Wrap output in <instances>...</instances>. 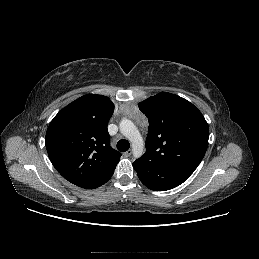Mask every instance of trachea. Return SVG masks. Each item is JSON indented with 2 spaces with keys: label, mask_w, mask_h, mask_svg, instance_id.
<instances>
[{
  "label": "trachea",
  "mask_w": 259,
  "mask_h": 259,
  "mask_svg": "<svg viewBox=\"0 0 259 259\" xmlns=\"http://www.w3.org/2000/svg\"><path fill=\"white\" fill-rule=\"evenodd\" d=\"M130 148V144L127 140L125 139H121L120 141H118L117 143V149L121 152H125Z\"/></svg>",
  "instance_id": "1"
}]
</instances>
